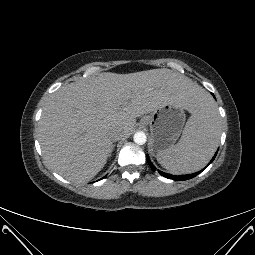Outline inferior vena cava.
<instances>
[{
	"label": "inferior vena cava",
	"instance_id": "obj_1",
	"mask_svg": "<svg viewBox=\"0 0 255 255\" xmlns=\"http://www.w3.org/2000/svg\"><path fill=\"white\" fill-rule=\"evenodd\" d=\"M110 138L112 141H119L120 139L123 138V134L121 131L115 130V131L111 132Z\"/></svg>",
	"mask_w": 255,
	"mask_h": 255
}]
</instances>
